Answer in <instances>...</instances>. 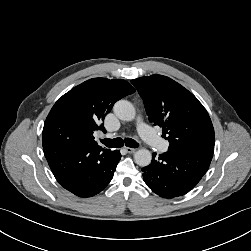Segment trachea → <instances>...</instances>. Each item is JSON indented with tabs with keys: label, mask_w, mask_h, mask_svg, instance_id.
I'll use <instances>...</instances> for the list:
<instances>
[{
	"label": "trachea",
	"mask_w": 251,
	"mask_h": 251,
	"mask_svg": "<svg viewBox=\"0 0 251 251\" xmlns=\"http://www.w3.org/2000/svg\"><path fill=\"white\" fill-rule=\"evenodd\" d=\"M101 142L109 148H120L122 147L124 144L127 147H131V148H137L139 145L138 143L131 139V138H125L124 140L122 138H115V139H102Z\"/></svg>",
	"instance_id": "obj_1"
}]
</instances>
